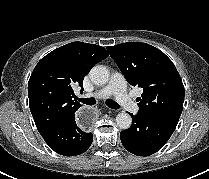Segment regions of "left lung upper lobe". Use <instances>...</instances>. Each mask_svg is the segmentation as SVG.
<instances>
[{"label": "left lung upper lobe", "instance_id": "left-lung-upper-lobe-1", "mask_svg": "<svg viewBox=\"0 0 209 179\" xmlns=\"http://www.w3.org/2000/svg\"><path fill=\"white\" fill-rule=\"evenodd\" d=\"M127 82L143 90L139 110L180 118L184 102L182 79L172 61L159 49L141 42L107 47Z\"/></svg>", "mask_w": 209, "mask_h": 179}]
</instances>
